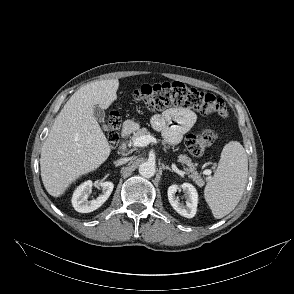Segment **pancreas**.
I'll return each mask as SVG.
<instances>
[{
  "label": "pancreas",
  "mask_w": 294,
  "mask_h": 294,
  "mask_svg": "<svg viewBox=\"0 0 294 294\" xmlns=\"http://www.w3.org/2000/svg\"><path fill=\"white\" fill-rule=\"evenodd\" d=\"M143 135H150V132L147 128H140L137 129L136 132L133 133V136L131 137L132 141L136 139L137 137L143 136ZM178 161L186 165L187 168H185V171L189 174V177L198 185L203 186L204 180L201 178L200 174L196 171V165L192 163V160L187 155H180L178 157Z\"/></svg>",
  "instance_id": "obj_1"
}]
</instances>
